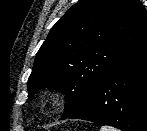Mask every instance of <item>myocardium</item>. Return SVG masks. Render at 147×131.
Segmentation results:
<instances>
[{"label":"myocardium","mask_w":147,"mask_h":131,"mask_svg":"<svg viewBox=\"0 0 147 131\" xmlns=\"http://www.w3.org/2000/svg\"><path fill=\"white\" fill-rule=\"evenodd\" d=\"M62 102V95L56 91H49L42 98V103L47 108H56L60 106Z\"/></svg>","instance_id":"1"}]
</instances>
